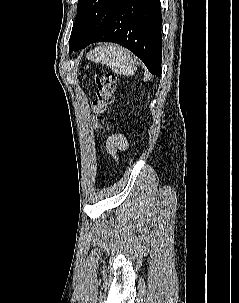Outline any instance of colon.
I'll use <instances>...</instances> for the list:
<instances>
[{"mask_svg": "<svg viewBox=\"0 0 239 303\" xmlns=\"http://www.w3.org/2000/svg\"><path fill=\"white\" fill-rule=\"evenodd\" d=\"M96 92L92 103L95 116H100L113 103L116 75L112 72H101L95 75Z\"/></svg>", "mask_w": 239, "mask_h": 303, "instance_id": "obj_1", "label": "colon"}]
</instances>
